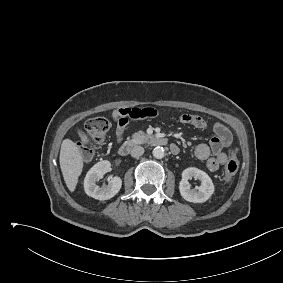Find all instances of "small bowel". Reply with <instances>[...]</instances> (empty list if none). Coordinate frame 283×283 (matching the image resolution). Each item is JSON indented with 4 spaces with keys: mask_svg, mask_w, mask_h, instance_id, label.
Segmentation results:
<instances>
[{
    "mask_svg": "<svg viewBox=\"0 0 283 283\" xmlns=\"http://www.w3.org/2000/svg\"><path fill=\"white\" fill-rule=\"evenodd\" d=\"M158 116V111L151 107H133L121 108L113 113V119L117 123L116 138L121 142L126 129V126L131 119L153 118ZM180 121L183 124L191 125L195 128L206 130L210 129L213 137L208 144L202 143L196 146L194 154L201 160L205 161L208 170L216 171L226 163L227 155L224 149L232 143V134L230 130L221 123H215L211 127L199 115L185 113L180 116Z\"/></svg>",
    "mask_w": 283,
    "mask_h": 283,
    "instance_id": "1",
    "label": "small bowel"
}]
</instances>
